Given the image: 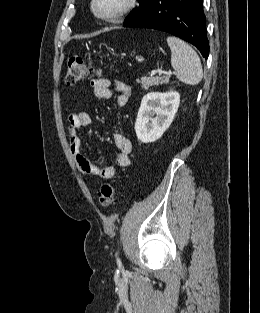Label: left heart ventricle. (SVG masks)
Returning <instances> with one entry per match:
<instances>
[{
	"mask_svg": "<svg viewBox=\"0 0 260 313\" xmlns=\"http://www.w3.org/2000/svg\"><path fill=\"white\" fill-rule=\"evenodd\" d=\"M127 0H97V9L102 14H114L121 10Z\"/></svg>",
	"mask_w": 260,
	"mask_h": 313,
	"instance_id": "obj_1",
	"label": "left heart ventricle"
}]
</instances>
